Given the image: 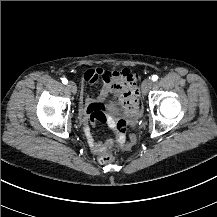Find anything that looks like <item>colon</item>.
Segmentation results:
<instances>
[{"label":"colon","mask_w":217,"mask_h":217,"mask_svg":"<svg viewBox=\"0 0 217 217\" xmlns=\"http://www.w3.org/2000/svg\"><path fill=\"white\" fill-rule=\"evenodd\" d=\"M135 141H136V136H135V134L132 133V134H130V136H129V142H128V144L125 143L123 146H121L120 144H117V145L115 146V149H116L117 151H120V150L122 149V150H125V151H127V152H130V151L132 150V147H133ZM111 160H112V157H111V155H109V154H106V155H104V154H99V155L97 156V158H96V161H97V163H99V164H108V163L111 162Z\"/></svg>","instance_id":"1"}]
</instances>
